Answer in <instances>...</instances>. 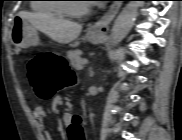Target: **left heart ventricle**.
<instances>
[{
	"label": "left heart ventricle",
	"mask_w": 182,
	"mask_h": 140,
	"mask_svg": "<svg viewBox=\"0 0 182 140\" xmlns=\"http://www.w3.org/2000/svg\"><path fill=\"white\" fill-rule=\"evenodd\" d=\"M69 5L74 9H79L84 5V3L79 2V1H71V2H69Z\"/></svg>",
	"instance_id": "obj_1"
}]
</instances>
